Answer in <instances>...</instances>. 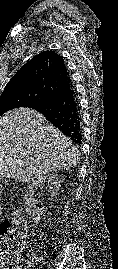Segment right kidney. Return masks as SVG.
<instances>
[{"label":"right kidney","instance_id":"right-kidney-1","mask_svg":"<svg viewBox=\"0 0 118 269\" xmlns=\"http://www.w3.org/2000/svg\"><path fill=\"white\" fill-rule=\"evenodd\" d=\"M63 182L62 177L59 174H45L40 176L37 180H34L33 183L27 187L25 193V204L26 211L30 218L34 222H39L41 220V216L43 215V208L36 206V200L34 198L35 190L44 184L49 186V193L51 197L57 195L60 185Z\"/></svg>","mask_w":118,"mask_h":269}]
</instances>
